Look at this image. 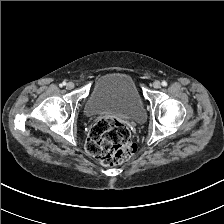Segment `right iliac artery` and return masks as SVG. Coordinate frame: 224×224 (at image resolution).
Masks as SVG:
<instances>
[{"instance_id": "82829eb1", "label": "right iliac artery", "mask_w": 224, "mask_h": 224, "mask_svg": "<svg viewBox=\"0 0 224 224\" xmlns=\"http://www.w3.org/2000/svg\"><path fill=\"white\" fill-rule=\"evenodd\" d=\"M66 85V83L65 82H62L61 84H60V87H63V86H65Z\"/></svg>"}]
</instances>
